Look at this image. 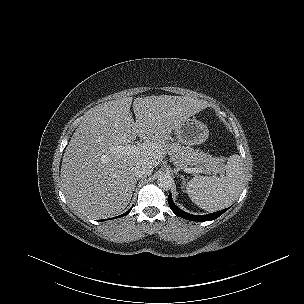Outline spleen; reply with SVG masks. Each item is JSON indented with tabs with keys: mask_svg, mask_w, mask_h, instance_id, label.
I'll return each instance as SVG.
<instances>
[{
	"mask_svg": "<svg viewBox=\"0 0 304 304\" xmlns=\"http://www.w3.org/2000/svg\"><path fill=\"white\" fill-rule=\"evenodd\" d=\"M220 176H196L186 187L189 198L200 208L215 211L231 205L244 185L243 162L239 155L228 158Z\"/></svg>",
	"mask_w": 304,
	"mask_h": 304,
	"instance_id": "obj_1",
	"label": "spleen"
}]
</instances>
